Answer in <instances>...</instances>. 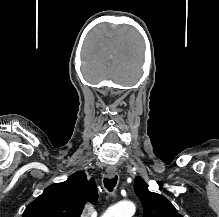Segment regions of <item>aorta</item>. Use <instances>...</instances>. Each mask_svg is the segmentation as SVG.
Returning a JSON list of instances; mask_svg holds the SVG:
<instances>
[{
    "label": "aorta",
    "instance_id": "1",
    "mask_svg": "<svg viewBox=\"0 0 219 217\" xmlns=\"http://www.w3.org/2000/svg\"><path fill=\"white\" fill-rule=\"evenodd\" d=\"M135 213V205L130 201L120 202L109 208L102 217H132Z\"/></svg>",
    "mask_w": 219,
    "mask_h": 217
}]
</instances>
